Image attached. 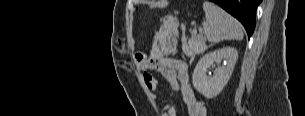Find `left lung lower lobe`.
I'll return each mask as SVG.
<instances>
[{
	"label": "left lung lower lobe",
	"mask_w": 305,
	"mask_h": 116,
	"mask_svg": "<svg viewBox=\"0 0 305 116\" xmlns=\"http://www.w3.org/2000/svg\"><path fill=\"white\" fill-rule=\"evenodd\" d=\"M218 4L245 27L250 38L255 28V12L261 0H211Z\"/></svg>",
	"instance_id": "0a47b994"
}]
</instances>
